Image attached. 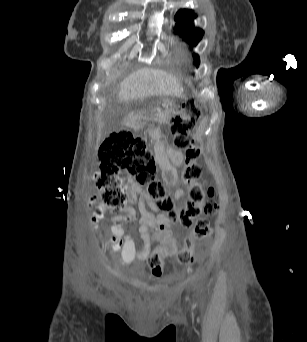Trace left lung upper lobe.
Masks as SVG:
<instances>
[{"mask_svg":"<svg viewBox=\"0 0 307 342\" xmlns=\"http://www.w3.org/2000/svg\"><path fill=\"white\" fill-rule=\"evenodd\" d=\"M196 17L192 10L183 9L177 12L174 19L176 21L175 32L179 34L189 44H197L204 32L201 29L193 28L192 21ZM197 66L199 65V56L195 55Z\"/></svg>","mask_w":307,"mask_h":342,"instance_id":"5c2ea615","label":"left lung upper lobe"}]
</instances>
